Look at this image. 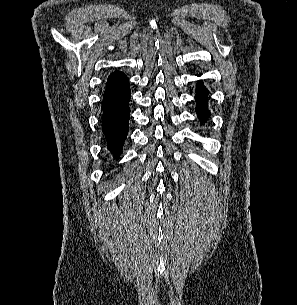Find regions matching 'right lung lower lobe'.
Listing matches in <instances>:
<instances>
[{"instance_id": "obj_1", "label": "right lung lower lobe", "mask_w": 297, "mask_h": 305, "mask_svg": "<svg viewBox=\"0 0 297 305\" xmlns=\"http://www.w3.org/2000/svg\"><path fill=\"white\" fill-rule=\"evenodd\" d=\"M131 97L129 79L120 71L111 73L107 79L102 102V131L115 159L119 158L128 134Z\"/></svg>"}]
</instances>
